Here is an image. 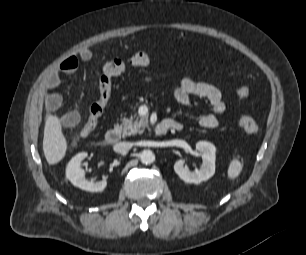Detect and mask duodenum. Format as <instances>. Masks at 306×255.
<instances>
[{
  "mask_svg": "<svg viewBox=\"0 0 306 255\" xmlns=\"http://www.w3.org/2000/svg\"><path fill=\"white\" fill-rule=\"evenodd\" d=\"M181 129V124L171 120V119H166L160 123H158L155 128H154V133L158 136L165 135L168 133L170 130H180ZM120 139V132L116 129H110L105 133L104 136V142L107 145L114 144L118 142Z\"/></svg>",
  "mask_w": 306,
  "mask_h": 255,
  "instance_id": "obj_1",
  "label": "duodenum"
}]
</instances>
